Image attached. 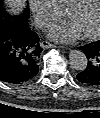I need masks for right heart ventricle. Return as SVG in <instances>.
<instances>
[{
	"label": "right heart ventricle",
	"mask_w": 100,
	"mask_h": 118,
	"mask_svg": "<svg viewBox=\"0 0 100 118\" xmlns=\"http://www.w3.org/2000/svg\"><path fill=\"white\" fill-rule=\"evenodd\" d=\"M57 6L60 8H65L68 3H70L72 0H54Z\"/></svg>",
	"instance_id": "e07e8e85"
}]
</instances>
